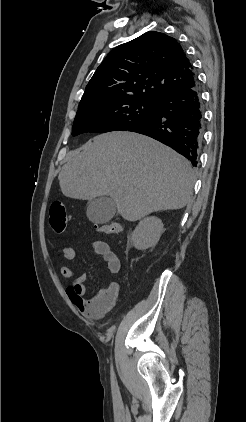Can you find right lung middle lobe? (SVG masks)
<instances>
[{
    "label": "right lung middle lobe",
    "instance_id": "right-lung-middle-lobe-1",
    "mask_svg": "<svg viewBox=\"0 0 246 422\" xmlns=\"http://www.w3.org/2000/svg\"><path fill=\"white\" fill-rule=\"evenodd\" d=\"M154 111V102L135 97L97 101L78 108L72 135L76 136L84 132L106 133L127 130L150 118Z\"/></svg>",
    "mask_w": 246,
    "mask_h": 422
}]
</instances>
